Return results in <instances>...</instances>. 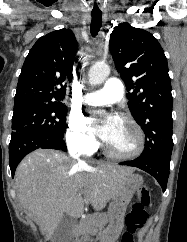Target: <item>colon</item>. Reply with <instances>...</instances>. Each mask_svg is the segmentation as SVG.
I'll return each mask as SVG.
<instances>
[{"label": "colon", "mask_w": 187, "mask_h": 242, "mask_svg": "<svg viewBox=\"0 0 187 242\" xmlns=\"http://www.w3.org/2000/svg\"><path fill=\"white\" fill-rule=\"evenodd\" d=\"M150 203V188L142 186L137 192V202L126 216L127 232L123 235L121 242H134V233L138 231L147 221L148 213L146 207Z\"/></svg>", "instance_id": "obj_1"}]
</instances>
